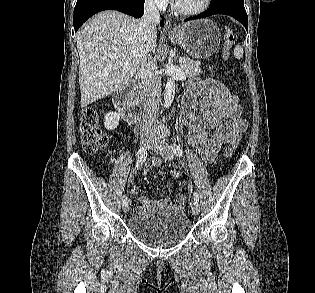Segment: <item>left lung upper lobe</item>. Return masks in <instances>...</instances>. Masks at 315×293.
<instances>
[{
  "mask_svg": "<svg viewBox=\"0 0 315 293\" xmlns=\"http://www.w3.org/2000/svg\"><path fill=\"white\" fill-rule=\"evenodd\" d=\"M221 1H224V0H211V6L217 4ZM239 1H244V0H239Z\"/></svg>",
  "mask_w": 315,
  "mask_h": 293,
  "instance_id": "left-lung-upper-lobe-1",
  "label": "left lung upper lobe"
}]
</instances>
